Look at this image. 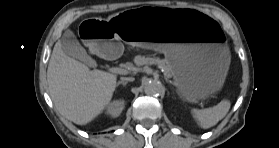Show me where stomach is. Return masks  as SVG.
<instances>
[{
  "instance_id": "1",
  "label": "stomach",
  "mask_w": 279,
  "mask_h": 148,
  "mask_svg": "<svg viewBox=\"0 0 279 148\" xmlns=\"http://www.w3.org/2000/svg\"><path fill=\"white\" fill-rule=\"evenodd\" d=\"M77 38L84 48L107 59L122 55L121 41L164 52L177 92L188 102L218 91L229 65L225 31L195 10L139 8L119 12L107 21L89 17L79 24Z\"/></svg>"
}]
</instances>
